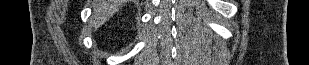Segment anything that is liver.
Here are the masks:
<instances>
[{
	"instance_id": "obj_1",
	"label": "liver",
	"mask_w": 309,
	"mask_h": 65,
	"mask_svg": "<svg viewBox=\"0 0 309 65\" xmlns=\"http://www.w3.org/2000/svg\"><path fill=\"white\" fill-rule=\"evenodd\" d=\"M127 0H94L92 7L94 9L91 27L95 30L106 23Z\"/></svg>"
}]
</instances>
